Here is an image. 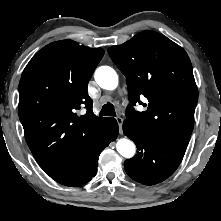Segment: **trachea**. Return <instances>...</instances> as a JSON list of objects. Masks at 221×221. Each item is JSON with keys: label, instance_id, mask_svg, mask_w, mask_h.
Here are the masks:
<instances>
[{"label": "trachea", "instance_id": "3493384b", "mask_svg": "<svg viewBox=\"0 0 221 221\" xmlns=\"http://www.w3.org/2000/svg\"><path fill=\"white\" fill-rule=\"evenodd\" d=\"M100 115H102V116H116L114 105L111 103H107V104L103 105V107L100 111Z\"/></svg>", "mask_w": 221, "mask_h": 221}]
</instances>
